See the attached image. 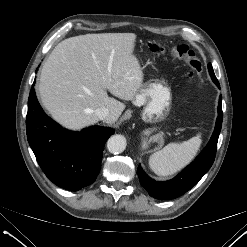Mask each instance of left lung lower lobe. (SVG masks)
Here are the masks:
<instances>
[{"instance_id":"left-lung-lower-lobe-1","label":"left lung lower lobe","mask_w":247,"mask_h":247,"mask_svg":"<svg viewBox=\"0 0 247 247\" xmlns=\"http://www.w3.org/2000/svg\"><path fill=\"white\" fill-rule=\"evenodd\" d=\"M212 80L218 87L220 86L217 79L212 78ZM221 103L222 97L220 96L218 104V118L209 143L201 154L175 178L168 181L158 182L151 179L143 171L141 165L138 166L139 180L152 197L164 200L177 198L196 185L203 175L210 169L215 159L218 137L222 126L223 113Z\"/></svg>"}]
</instances>
